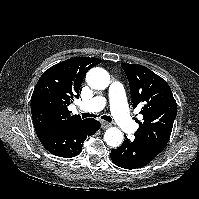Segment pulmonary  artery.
<instances>
[{
	"mask_svg": "<svg viewBox=\"0 0 199 199\" xmlns=\"http://www.w3.org/2000/svg\"><path fill=\"white\" fill-rule=\"evenodd\" d=\"M109 103L111 113L120 126L126 132H132L136 129V124L130 116L126 105L124 88L118 81H113L108 87ZM106 104L104 97L98 96L80 104V109L86 112H97L103 109Z\"/></svg>",
	"mask_w": 199,
	"mask_h": 199,
	"instance_id": "pulmonary-artery-1",
	"label": "pulmonary artery"
}]
</instances>
